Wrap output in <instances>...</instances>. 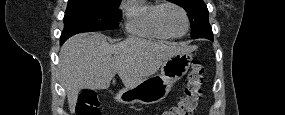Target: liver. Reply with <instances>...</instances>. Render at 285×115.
Segmentation results:
<instances>
[{
    "label": "liver",
    "instance_id": "6515ba94",
    "mask_svg": "<svg viewBox=\"0 0 285 115\" xmlns=\"http://www.w3.org/2000/svg\"><path fill=\"white\" fill-rule=\"evenodd\" d=\"M196 48L137 37L109 44L100 33L73 36L59 54V72L69 109L74 112L81 89H107L116 74L126 88L134 87L155 74L170 57Z\"/></svg>",
    "mask_w": 285,
    "mask_h": 115
}]
</instances>
